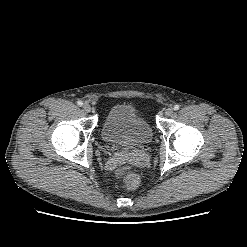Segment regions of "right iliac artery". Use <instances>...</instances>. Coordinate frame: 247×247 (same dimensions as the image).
I'll return each instance as SVG.
<instances>
[{
  "label": "right iliac artery",
  "mask_w": 247,
  "mask_h": 247,
  "mask_svg": "<svg viewBox=\"0 0 247 247\" xmlns=\"http://www.w3.org/2000/svg\"><path fill=\"white\" fill-rule=\"evenodd\" d=\"M77 104H78L79 106H82V105H83V102H82V101H77Z\"/></svg>",
  "instance_id": "1"
}]
</instances>
